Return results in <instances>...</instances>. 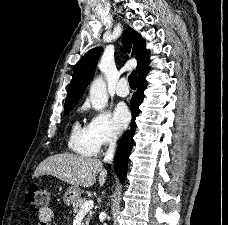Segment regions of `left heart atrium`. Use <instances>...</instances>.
I'll return each mask as SVG.
<instances>
[{
  "label": "left heart atrium",
  "mask_w": 228,
  "mask_h": 225,
  "mask_svg": "<svg viewBox=\"0 0 228 225\" xmlns=\"http://www.w3.org/2000/svg\"><path fill=\"white\" fill-rule=\"evenodd\" d=\"M113 120L119 130L124 129L130 121V113L126 106L119 105L113 113Z\"/></svg>",
  "instance_id": "left-heart-atrium-1"
}]
</instances>
